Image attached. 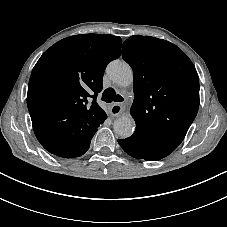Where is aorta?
Instances as JSON below:
<instances>
[{"instance_id":"762f6f07","label":"aorta","mask_w":227,"mask_h":227,"mask_svg":"<svg viewBox=\"0 0 227 227\" xmlns=\"http://www.w3.org/2000/svg\"><path fill=\"white\" fill-rule=\"evenodd\" d=\"M107 74L117 85L125 87L133 82L131 67L122 60H114L107 66ZM114 132L121 138L130 137L135 129V121L130 115H124L114 121Z\"/></svg>"}]
</instances>
